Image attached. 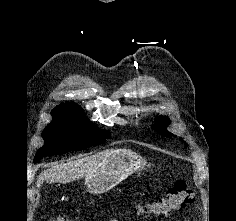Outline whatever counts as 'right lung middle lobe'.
Instances as JSON below:
<instances>
[{"label":"right lung middle lobe","instance_id":"dd1d6c3e","mask_svg":"<svg viewBox=\"0 0 236 221\" xmlns=\"http://www.w3.org/2000/svg\"><path fill=\"white\" fill-rule=\"evenodd\" d=\"M51 114L52 122L42 132L45 145L37 151L34 162L45 156L99 145L110 138V132L95 127L81 111L56 107Z\"/></svg>","mask_w":236,"mask_h":221}]
</instances>
